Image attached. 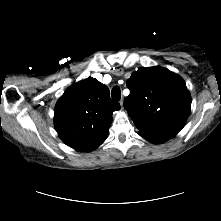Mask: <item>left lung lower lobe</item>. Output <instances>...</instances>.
<instances>
[{"instance_id": "obj_1", "label": "left lung lower lobe", "mask_w": 221, "mask_h": 221, "mask_svg": "<svg viewBox=\"0 0 221 221\" xmlns=\"http://www.w3.org/2000/svg\"><path fill=\"white\" fill-rule=\"evenodd\" d=\"M139 135L142 136L143 138H145L146 140L152 142V143H164L166 141V140L159 139V138H156V137L144 135V134H142L140 132H139Z\"/></svg>"}]
</instances>
